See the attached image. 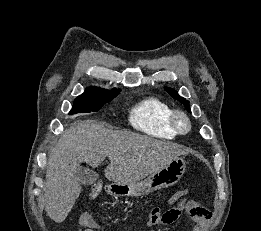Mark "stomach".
<instances>
[{
  "label": "stomach",
  "instance_id": "obj_1",
  "mask_svg": "<svg viewBox=\"0 0 261 231\" xmlns=\"http://www.w3.org/2000/svg\"><path fill=\"white\" fill-rule=\"evenodd\" d=\"M185 168L184 158L177 157L144 180L128 184H111L109 192L116 196L139 197L148 195L154 191L176 184L183 176Z\"/></svg>",
  "mask_w": 261,
  "mask_h": 231
}]
</instances>
